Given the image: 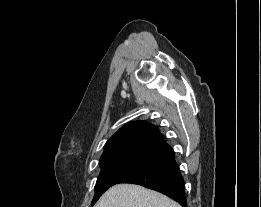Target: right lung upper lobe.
Returning a JSON list of instances; mask_svg holds the SVG:
<instances>
[{
	"label": "right lung upper lobe",
	"mask_w": 261,
	"mask_h": 207,
	"mask_svg": "<svg viewBox=\"0 0 261 207\" xmlns=\"http://www.w3.org/2000/svg\"><path fill=\"white\" fill-rule=\"evenodd\" d=\"M172 157L173 149L154 125L146 121H132L106 142L99 163L124 159H147L161 163Z\"/></svg>",
	"instance_id": "cb5924a9"
}]
</instances>
